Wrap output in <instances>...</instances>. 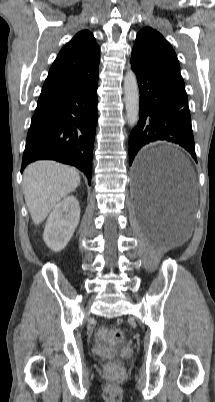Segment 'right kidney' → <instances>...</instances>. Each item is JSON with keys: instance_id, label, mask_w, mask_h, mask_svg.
Wrapping results in <instances>:
<instances>
[{"instance_id": "1", "label": "right kidney", "mask_w": 215, "mask_h": 402, "mask_svg": "<svg viewBox=\"0 0 215 402\" xmlns=\"http://www.w3.org/2000/svg\"><path fill=\"white\" fill-rule=\"evenodd\" d=\"M80 220L79 202L68 196L50 213L43 233L46 245L53 251H61L70 241Z\"/></svg>"}]
</instances>
